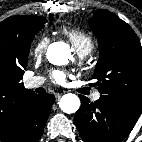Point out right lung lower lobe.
I'll use <instances>...</instances> for the list:
<instances>
[{
    "instance_id": "98d812e1",
    "label": "right lung lower lobe",
    "mask_w": 142,
    "mask_h": 142,
    "mask_svg": "<svg viewBox=\"0 0 142 142\" xmlns=\"http://www.w3.org/2000/svg\"><path fill=\"white\" fill-rule=\"evenodd\" d=\"M54 101L55 97L52 94L32 95L21 108L9 131L0 135V140L2 142H37Z\"/></svg>"
}]
</instances>
